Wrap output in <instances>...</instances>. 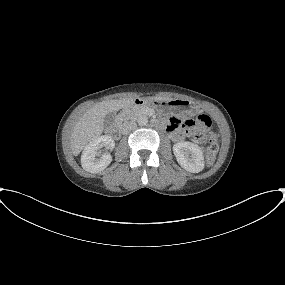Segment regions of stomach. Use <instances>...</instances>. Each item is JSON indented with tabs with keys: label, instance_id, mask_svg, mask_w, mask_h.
<instances>
[{
	"label": "stomach",
	"instance_id": "obj_1",
	"mask_svg": "<svg viewBox=\"0 0 285 285\" xmlns=\"http://www.w3.org/2000/svg\"><path fill=\"white\" fill-rule=\"evenodd\" d=\"M144 104L155 109L159 113H180L185 111H194L193 104L184 99H170L166 101H159L148 98L144 100Z\"/></svg>",
	"mask_w": 285,
	"mask_h": 285
}]
</instances>
